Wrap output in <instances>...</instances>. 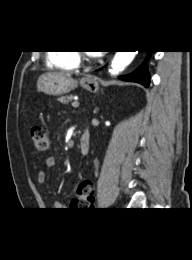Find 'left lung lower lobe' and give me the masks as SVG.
Wrapping results in <instances>:
<instances>
[{"mask_svg": "<svg viewBox=\"0 0 192 260\" xmlns=\"http://www.w3.org/2000/svg\"><path fill=\"white\" fill-rule=\"evenodd\" d=\"M150 53L151 51H148L146 60L135 72H133L130 75L120 77V79L138 82L144 85L145 87H148L150 83V76L147 70V61L150 57Z\"/></svg>", "mask_w": 192, "mask_h": 260, "instance_id": "obj_1", "label": "left lung lower lobe"}]
</instances>
